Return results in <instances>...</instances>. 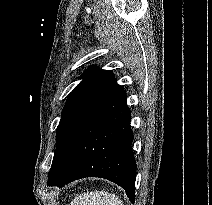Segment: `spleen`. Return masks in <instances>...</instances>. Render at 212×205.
I'll use <instances>...</instances> for the list:
<instances>
[{"mask_svg": "<svg viewBox=\"0 0 212 205\" xmlns=\"http://www.w3.org/2000/svg\"><path fill=\"white\" fill-rule=\"evenodd\" d=\"M71 205H124L115 194L105 191L86 192L76 196Z\"/></svg>", "mask_w": 212, "mask_h": 205, "instance_id": "3e777b00", "label": "spleen"}]
</instances>
